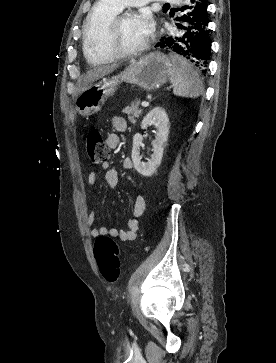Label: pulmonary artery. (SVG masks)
I'll return each instance as SVG.
<instances>
[{"label":"pulmonary artery","instance_id":"pulmonary-artery-1","mask_svg":"<svg viewBox=\"0 0 276 363\" xmlns=\"http://www.w3.org/2000/svg\"><path fill=\"white\" fill-rule=\"evenodd\" d=\"M111 1H113L115 4H117L122 9L127 6L144 5L153 0H111ZM156 1L166 2V1H173V0H156Z\"/></svg>","mask_w":276,"mask_h":363}]
</instances>
